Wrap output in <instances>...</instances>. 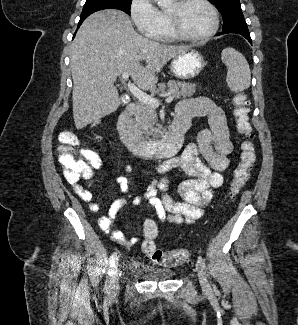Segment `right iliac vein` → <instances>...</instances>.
<instances>
[{
    "label": "right iliac vein",
    "mask_w": 298,
    "mask_h": 325,
    "mask_svg": "<svg viewBox=\"0 0 298 325\" xmlns=\"http://www.w3.org/2000/svg\"><path fill=\"white\" fill-rule=\"evenodd\" d=\"M109 294L115 295L119 291V269L116 266L110 278L108 286Z\"/></svg>",
    "instance_id": "obj_1"
}]
</instances>
